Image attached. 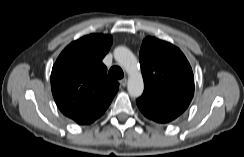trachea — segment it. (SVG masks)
Listing matches in <instances>:
<instances>
[{
	"label": "trachea",
	"mask_w": 244,
	"mask_h": 157,
	"mask_svg": "<svg viewBox=\"0 0 244 157\" xmlns=\"http://www.w3.org/2000/svg\"><path fill=\"white\" fill-rule=\"evenodd\" d=\"M108 75L114 79H122L124 73L119 66H113L110 68Z\"/></svg>",
	"instance_id": "3493384b"
}]
</instances>
